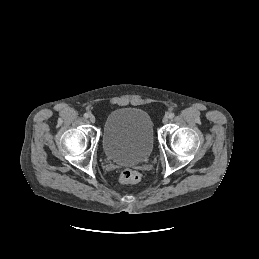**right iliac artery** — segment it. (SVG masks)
<instances>
[{
  "instance_id": "82829eb1",
  "label": "right iliac artery",
  "mask_w": 259,
  "mask_h": 259,
  "mask_svg": "<svg viewBox=\"0 0 259 259\" xmlns=\"http://www.w3.org/2000/svg\"><path fill=\"white\" fill-rule=\"evenodd\" d=\"M84 117H85V118H88V117H89V114H88V113H85V114H84Z\"/></svg>"
}]
</instances>
